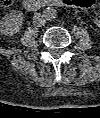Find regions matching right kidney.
Listing matches in <instances>:
<instances>
[{
  "label": "right kidney",
  "instance_id": "obj_1",
  "mask_svg": "<svg viewBox=\"0 0 100 118\" xmlns=\"http://www.w3.org/2000/svg\"><path fill=\"white\" fill-rule=\"evenodd\" d=\"M19 30L17 23L13 19H8L3 25V31L6 35H13Z\"/></svg>",
  "mask_w": 100,
  "mask_h": 118
}]
</instances>
